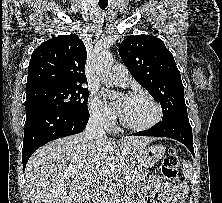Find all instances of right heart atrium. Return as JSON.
Here are the masks:
<instances>
[{"instance_id":"right-heart-atrium-1","label":"right heart atrium","mask_w":222,"mask_h":203,"mask_svg":"<svg viewBox=\"0 0 222 203\" xmlns=\"http://www.w3.org/2000/svg\"><path fill=\"white\" fill-rule=\"evenodd\" d=\"M89 111L91 118L101 125L109 127L114 123L115 113L94 94L89 100Z\"/></svg>"}]
</instances>
